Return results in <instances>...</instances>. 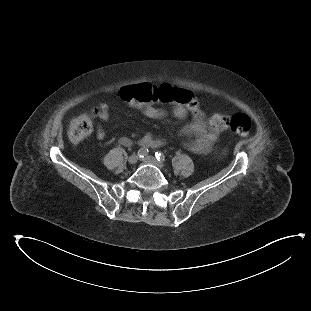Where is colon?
Instances as JSON below:
<instances>
[{
  "label": "colon",
  "instance_id": "1",
  "mask_svg": "<svg viewBox=\"0 0 311 311\" xmlns=\"http://www.w3.org/2000/svg\"><path fill=\"white\" fill-rule=\"evenodd\" d=\"M119 99L122 102L138 101L131 104L135 107L139 103H166L184 106L187 111L197 117L204 118V111L194 95L183 89L173 87L158 88L152 84H145L138 87L122 88L119 91ZM98 108L94 107L92 112H86L75 119L69 125L67 135L73 144H78L90 135L93 129L92 114H96ZM228 116L213 115L207 122L210 129L224 131ZM232 131L238 135H245L250 127V119L244 113H234ZM228 121V119H227ZM224 129V130H223Z\"/></svg>",
  "mask_w": 311,
  "mask_h": 311
}]
</instances>
